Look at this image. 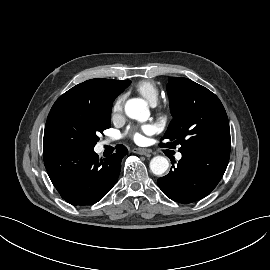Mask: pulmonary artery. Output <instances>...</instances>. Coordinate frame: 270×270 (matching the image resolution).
<instances>
[{"label": "pulmonary artery", "instance_id": "obj_1", "mask_svg": "<svg viewBox=\"0 0 270 270\" xmlns=\"http://www.w3.org/2000/svg\"><path fill=\"white\" fill-rule=\"evenodd\" d=\"M110 141L108 140L107 141V143H109ZM181 157H182V155L180 154V153H178L177 155H176V158L179 160V159H181Z\"/></svg>", "mask_w": 270, "mask_h": 270}]
</instances>
